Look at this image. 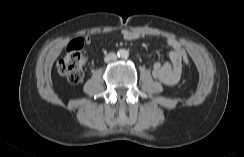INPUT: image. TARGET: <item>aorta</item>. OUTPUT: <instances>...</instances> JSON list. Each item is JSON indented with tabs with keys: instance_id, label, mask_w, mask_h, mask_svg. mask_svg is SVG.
<instances>
[{
	"instance_id": "aorta-1",
	"label": "aorta",
	"mask_w": 244,
	"mask_h": 157,
	"mask_svg": "<svg viewBox=\"0 0 244 157\" xmlns=\"http://www.w3.org/2000/svg\"><path fill=\"white\" fill-rule=\"evenodd\" d=\"M119 56L122 57V58H126L128 57L129 53L127 50L125 49H121L119 52H118Z\"/></svg>"
}]
</instances>
